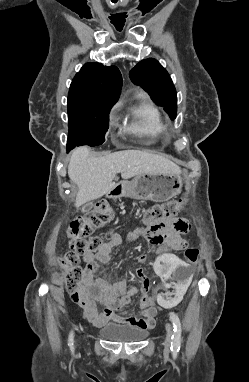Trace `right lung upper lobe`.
I'll return each mask as SVG.
<instances>
[{
    "label": "right lung upper lobe",
    "instance_id": "obj_1",
    "mask_svg": "<svg viewBox=\"0 0 249 382\" xmlns=\"http://www.w3.org/2000/svg\"><path fill=\"white\" fill-rule=\"evenodd\" d=\"M121 86L122 76L117 67L86 63L70 85L68 110L97 102L113 105L120 96Z\"/></svg>",
    "mask_w": 249,
    "mask_h": 382
}]
</instances>
